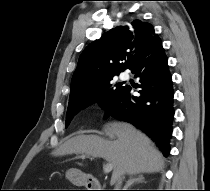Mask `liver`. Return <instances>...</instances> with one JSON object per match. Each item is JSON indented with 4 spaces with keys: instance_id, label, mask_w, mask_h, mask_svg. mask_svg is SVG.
<instances>
[{
    "instance_id": "obj_1",
    "label": "liver",
    "mask_w": 210,
    "mask_h": 191,
    "mask_svg": "<svg viewBox=\"0 0 210 191\" xmlns=\"http://www.w3.org/2000/svg\"><path fill=\"white\" fill-rule=\"evenodd\" d=\"M104 132L109 139L81 134L67 140L52 155L75 153L104 158L113 163L111 183H115L121 173H154L163 168L162 154L144 133L132 125L112 122L105 125Z\"/></svg>"
}]
</instances>
